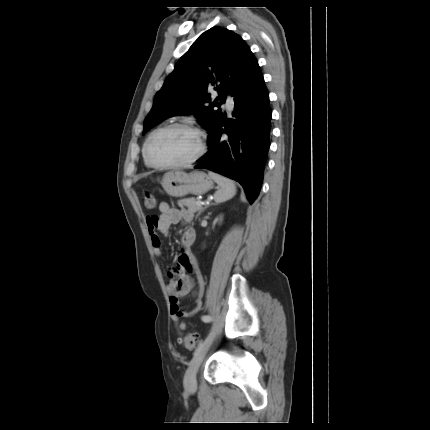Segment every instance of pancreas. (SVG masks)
<instances>
[{
  "mask_svg": "<svg viewBox=\"0 0 430 430\" xmlns=\"http://www.w3.org/2000/svg\"><path fill=\"white\" fill-rule=\"evenodd\" d=\"M196 202L197 200L194 197L185 198L178 201V206L180 207L186 206L188 210L191 212L202 211L203 210L202 206H198Z\"/></svg>",
  "mask_w": 430,
  "mask_h": 430,
  "instance_id": "pancreas-1",
  "label": "pancreas"
}]
</instances>
